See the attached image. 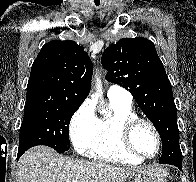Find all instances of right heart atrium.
Segmentation results:
<instances>
[{"label":"right heart atrium","instance_id":"obj_1","mask_svg":"<svg viewBox=\"0 0 196 182\" xmlns=\"http://www.w3.org/2000/svg\"><path fill=\"white\" fill-rule=\"evenodd\" d=\"M97 120L94 107L90 102L83 103L72 116L69 132L73 146L78 153H87L91 147Z\"/></svg>","mask_w":196,"mask_h":182}]
</instances>
